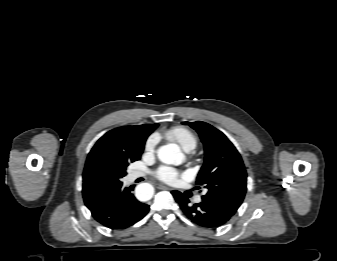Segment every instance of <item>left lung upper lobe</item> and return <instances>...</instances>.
<instances>
[{"instance_id": "obj_1", "label": "left lung upper lobe", "mask_w": 337, "mask_h": 261, "mask_svg": "<svg viewBox=\"0 0 337 261\" xmlns=\"http://www.w3.org/2000/svg\"><path fill=\"white\" fill-rule=\"evenodd\" d=\"M183 124L195 129L204 144L205 161L196 182L208 190L202 201L212 203L232 217L247 189V174L240 154L229 139L213 126L202 121Z\"/></svg>"}]
</instances>
